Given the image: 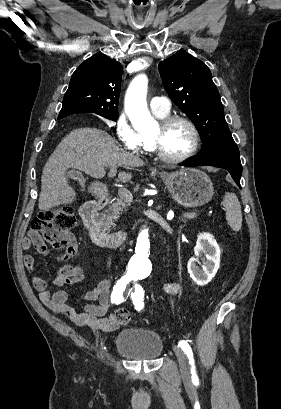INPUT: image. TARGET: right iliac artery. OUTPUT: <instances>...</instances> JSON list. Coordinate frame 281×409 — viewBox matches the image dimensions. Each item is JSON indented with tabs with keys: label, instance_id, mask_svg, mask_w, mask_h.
Wrapping results in <instances>:
<instances>
[{
	"label": "right iliac artery",
	"instance_id": "obj_1",
	"mask_svg": "<svg viewBox=\"0 0 281 409\" xmlns=\"http://www.w3.org/2000/svg\"><path fill=\"white\" fill-rule=\"evenodd\" d=\"M131 280H132L131 276L124 275L116 282L111 294V302L113 304H120L126 301L130 294L128 284Z\"/></svg>",
	"mask_w": 281,
	"mask_h": 409
}]
</instances>
